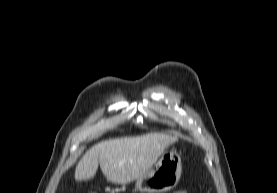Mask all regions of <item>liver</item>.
<instances>
[{"mask_svg":"<svg viewBox=\"0 0 277 193\" xmlns=\"http://www.w3.org/2000/svg\"><path fill=\"white\" fill-rule=\"evenodd\" d=\"M178 139L150 133L102 141L91 147L78 162L75 180H89L98 165L109 182L127 184L150 171L163 151Z\"/></svg>","mask_w":277,"mask_h":193,"instance_id":"6515ba94","label":"liver"}]
</instances>
